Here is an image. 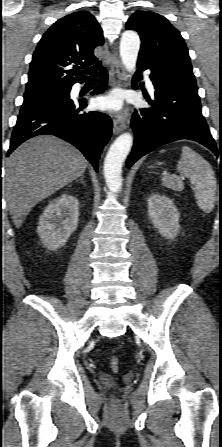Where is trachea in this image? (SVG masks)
<instances>
[{"label": "trachea", "mask_w": 222, "mask_h": 447, "mask_svg": "<svg viewBox=\"0 0 222 447\" xmlns=\"http://www.w3.org/2000/svg\"><path fill=\"white\" fill-rule=\"evenodd\" d=\"M99 66H100V63L94 67L86 69L85 72L90 75V78H96V72H97V69Z\"/></svg>", "instance_id": "3493384b"}]
</instances>
